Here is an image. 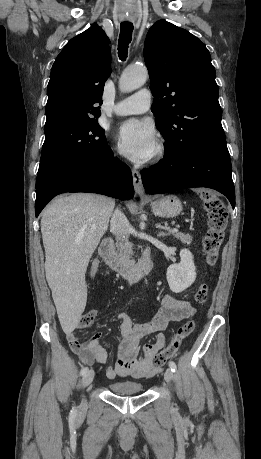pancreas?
<instances>
[{"label": "pancreas", "mask_w": 261, "mask_h": 459, "mask_svg": "<svg viewBox=\"0 0 261 459\" xmlns=\"http://www.w3.org/2000/svg\"><path fill=\"white\" fill-rule=\"evenodd\" d=\"M170 234H173L174 237L179 239L182 243L190 245L192 243V236L190 234H184L181 232L170 231ZM117 255L121 260L122 265H128L130 261V255L132 254V246L129 243H117Z\"/></svg>", "instance_id": "cf45deb5"}]
</instances>
